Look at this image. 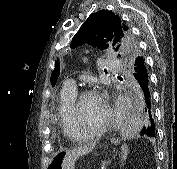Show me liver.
I'll use <instances>...</instances> for the list:
<instances>
[{
    "instance_id": "6515ba94",
    "label": "liver",
    "mask_w": 177,
    "mask_h": 169,
    "mask_svg": "<svg viewBox=\"0 0 177 169\" xmlns=\"http://www.w3.org/2000/svg\"><path fill=\"white\" fill-rule=\"evenodd\" d=\"M95 147V143L66 152L62 162L63 169H74L78 157L88 154Z\"/></svg>"
}]
</instances>
